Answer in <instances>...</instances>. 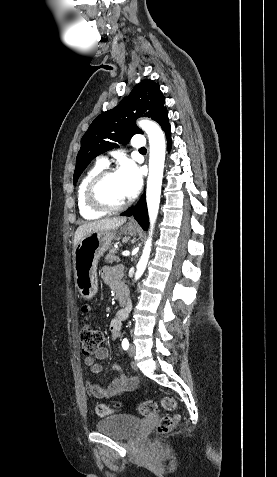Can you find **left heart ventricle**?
<instances>
[{"label": "left heart ventricle", "instance_id": "1", "mask_svg": "<svg viewBox=\"0 0 277 477\" xmlns=\"http://www.w3.org/2000/svg\"><path fill=\"white\" fill-rule=\"evenodd\" d=\"M101 198L109 204L117 205L127 199L118 173L108 177L99 190Z\"/></svg>", "mask_w": 277, "mask_h": 477}]
</instances>
